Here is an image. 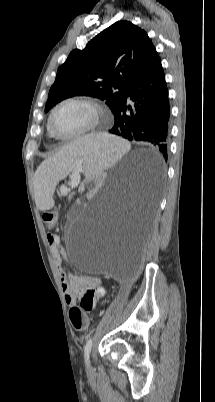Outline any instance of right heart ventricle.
<instances>
[{"mask_svg": "<svg viewBox=\"0 0 215 402\" xmlns=\"http://www.w3.org/2000/svg\"><path fill=\"white\" fill-rule=\"evenodd\" d=\"M48 133H49V136H50V137H53V136L51 135V133L49 132V130H48Z\"/></svg>", "mask_w": 215, "mask_h": 402, "instance_id": "1", "label": "right heart ventricle"}]
</instances>
